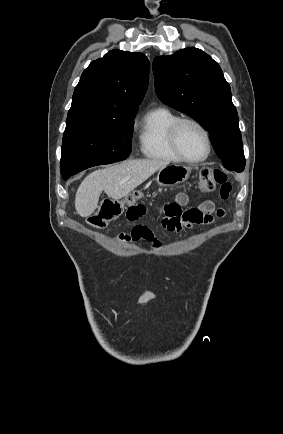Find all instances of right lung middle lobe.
<instances>
[{
    "mask_svg": "<svg viewBox=\"0 0 283 434\" xmlns=\"http://www.w3.org/2000/svg\"><path fill=\"white\" fill-rule=\"evenodd\" d=\"M134 118L67 120L60 162L63 179L92 166L126 159L131 152Z\"/></svg>",
    "mask_w": 283,
    "mask_h": 434,
    "instance_id": "dd1d6c3e",
    "label": "right lung middle lobe"
}]
</instances>
